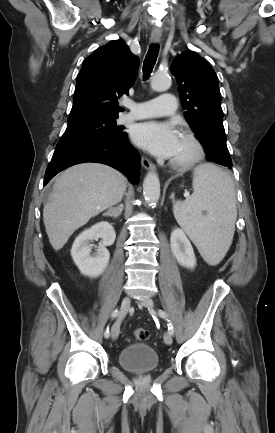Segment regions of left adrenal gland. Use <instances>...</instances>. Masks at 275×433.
<instances>
[{"label":"left adrenal gland","mask_w":275,"mask_h":433,"mask_svg":"<svg viewBox=\"0 0 275 433\" xmlns=\"http://www.w3.org/2000/svg\"><path fill=\"white\" fill-rule=\"evenodd\" d=\"M170 198H172L174 200V194H172Z\"/></svg>","instance_id":"left-adrenal-gland-1"}]
</instances>
